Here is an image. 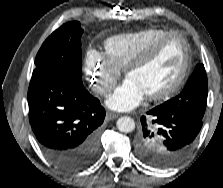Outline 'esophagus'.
<instances>
[{
  "instance_id": "34e87169",
  "label": "esophagus",
  "mask_w": 223,
  "mask_h": 188,
  "mask_svg": "<svg viewBox=\"0 0 223 188\" xmlns=\"http://www.w3.org/2000/svg\"><path fill=\"white\" fill-rule=\"evenodd\" d=\"M118 116H119V115L116 114V113H114V112H110V111H109V112L106 113V119H107L108 121L114 120V119H116Z\"/></svg>"
}]
</instances>
